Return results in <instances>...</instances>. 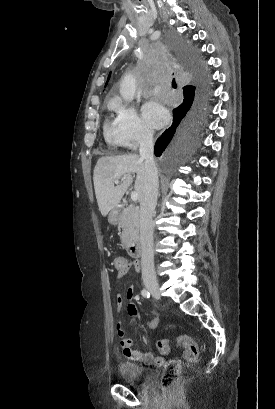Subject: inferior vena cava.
Here are the masks:
<instances>
[{
	"label": "inferior vena cava",
	"mask_w": 275,
	"mask_h": 409,
	"mask_svg": "<svg viewBox=\"0 0 275 409\" xmlns=\"http://www.w3.org/2000/svg\"><path fill=\"white\" fill-rule=\"evenodd\" d=\"M140 156L145 160L143 196L140 200L141 267L144 281H156L153 251V221L158 194V172L154 162L153 132L141 130Z\"/></svg>",
	"instance_id": "obj_1"
}]
</instances>
